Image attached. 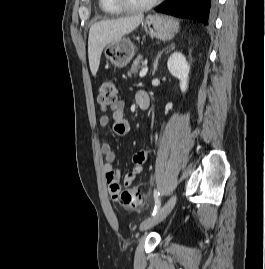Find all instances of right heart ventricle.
<instances>
[{"label": "right heart ventricle", "mask_w": 265, "mask_h": 269, "mask_svg": "<svg viewBox=\"0 0 265 269\" xmlns=\"http://www.w3.org/2000/svg\"><path fill=\"white\" fill-rule=\"evenodd\" d=\"M100 9L107 14H119L122 12L113 0H98Z\"/></svg>", "instance_id": "right-heart-ventricle-1"}]
</instances>
